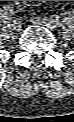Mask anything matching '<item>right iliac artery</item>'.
<instances>
[{
  "mask_svg": "<svg viewBox=\"0 0 74 122\" xmlns=\"http://www.w3.org/2000/svg\"><path fill=\"white\" fill-rule=\"evenodd\" d=\"M2 12L4 14H10V15L14 14L13 7L8 6V5H6V6L3 7Z\"/></svg>",
  "mask_w": 74,
  "mask_h": 122,
  "instance_id": "right-iliac-artery-1",
  "label": "right iliac artery"
}]
</instances>
